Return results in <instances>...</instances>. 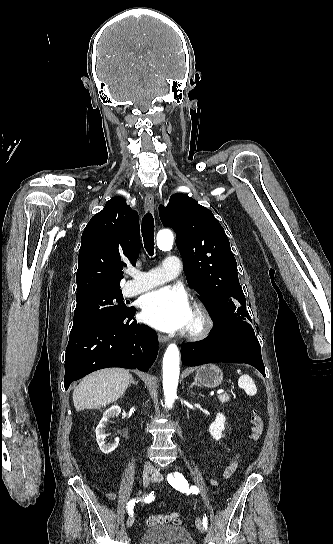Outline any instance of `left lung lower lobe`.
<instances>
[{"label":"left lung lower lobe","instance_id":"obj_1","mask_svg":"<svg viewBox=\"0 0 333 544\" xmlns=\"http://www.w3.org/2000/svg\"><path fill=\"white\" fill-rule=\"evenodd\" d=\"M181 356L182 364L187 366L208 362L247 363L266 376L260 346L250 327L241 323L215 324L205 339L182 344Z\"/></svg>","mask_w":333,"mask_h":544}]
</instances>
